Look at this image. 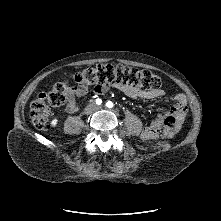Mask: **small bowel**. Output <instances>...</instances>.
<instances>
[{"label": "small bowel", "instance_id": "c3829d8e", "mask_svg": "<svg viewBox=\"0 0 221 221\" xmlns=\"http://www.w3.org/2000/svg\"><path fill=\"white\" fill-rule=\"evenodd\" d=\"M110 89H116L121 91L126 96L133 99H146L154 100L157 98H162L165 96L163 90L155 91H143L138 88L124 85L121 83H111L101 85L95 89L93 92L95 94H104ZM88 94V88H74L69 93L67 103L65 106V111L68 113H76L78 111V105L76 103L77 98H82ZM187 112L186 98L183 94H177L174 97V104L172 108L164 113H160L157 118L152 121L148 126L144 127L141 133V137L144 140H152L158 137L159 132L164 127V120L167 116H174L176 118V128L178 129L183 123Z\"/></svg>", "mask_w": 221, "mask_h": 221}]
</instances>
